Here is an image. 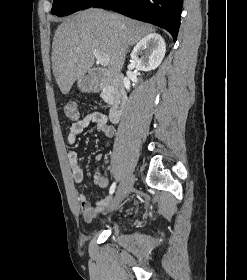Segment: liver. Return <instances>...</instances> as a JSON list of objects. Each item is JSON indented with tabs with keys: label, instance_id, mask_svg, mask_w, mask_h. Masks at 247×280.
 <instances>
[{
	"label": "liver",
	"instance_id": "1",
	"mask_svg": "<svg viewBox=\"0 0 247 280\" xmlns=\"http://www.w3.org/2000/svg\"><path fill=\"white\" fill-rule=\"evenodd\" d=\"M149 25L90 8L67 18L56 29L52 43V69L63 94L93 66V51L109 57L108 73L121 72L127 49L150 34Z\"/></svg>",
	"mask_w": 247,
	"mask_h": 280
}]
</instances>
